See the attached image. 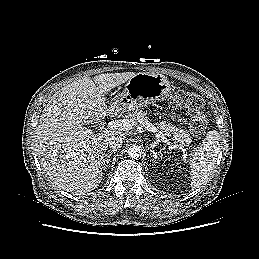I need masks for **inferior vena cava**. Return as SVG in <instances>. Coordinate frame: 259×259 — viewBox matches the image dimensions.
<instances>
[{
    "label": "inferior vena cava",
    "mask_w": 259,
    "mask_h": 259,
    "mask_svg": "<svg viewBox=\"0 0 259 259\" xmlns=\"http://www.w3.org/2000/svg\"><path fill=\"white\" fill-rule=\"evenodd\" d=\"M123 138L121 136H110L106 139V145L112 149H117L122 146Z\"/></svg>",
    "instance_id": "obj_1"
}]
</instances>
